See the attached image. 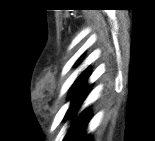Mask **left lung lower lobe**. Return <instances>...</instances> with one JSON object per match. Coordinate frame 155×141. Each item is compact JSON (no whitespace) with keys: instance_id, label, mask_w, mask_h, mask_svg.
Here are the masks:
<instances>
[{"instance_id":"0a47b994","label":"left lung lower lobe","mask_w":155,"mask_h":141,"mask_svg":"<svg viewBox=\"0 0 155 141\" xmlns=\"http://www.w3.org/2000/svg\"><path fill=\"white\" fill-rule=\"evenodd\" d=\"M92 85L88 86V88L83 92V94L71 105L70 109L67 112V116H73L76 111L80 108L83 101L87 97ZM88 116L89 113L82 112L78 118L74 121L72 126L70 127L67 135L66 140L68 141H88V138H84L85 129L88 123Z\"/></svg>"}]
</instances>
